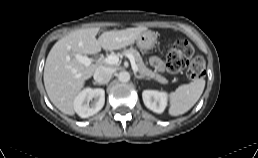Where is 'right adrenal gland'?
Instances as JSON below:
<instances>
[{
    "label": "right adrenal gland",
    "instance_id": "obj_1",
    "mask_svg": "<svg viewBox=\"0 0 258 158\" xmlns=\"http://www.w3.org/2000/svg\"><path fill=\"white\" fill-rule=\"evenodd\" d=\"M94 84H95V85H101V84H98V83H96V82H94Z\"/></svg>",
    "mask_w": 258,
    "mask_h": 158
}]
</instances>
